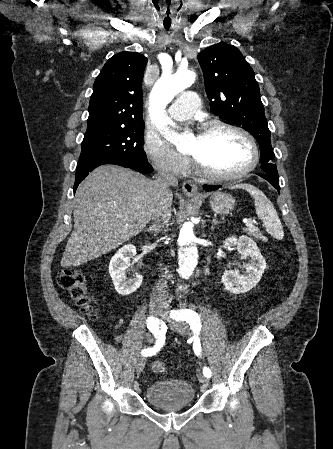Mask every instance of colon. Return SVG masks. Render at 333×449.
<instances>
[{
    "label": "colon",
    "mask_w": 333,
    "mask_h": 449,
    "mask_svg": "<svg viewBox=\"0 0 333 449\" xmlns=\"http://www.w3.org/2000/svg\"><path fill=\"white\" fill-rule=\"evenodd\" d=\"M85 281L82 272L71 268L61 269L57 276L59 286L69 292L81 310L88 315H93L95 311L93 298L87 291ZM152 369L155 373L161 374L166 371V365L164 362L156 361L153 363Z\"/></svg>",
    "instance_id": "colon-1"
}]
</instances>
